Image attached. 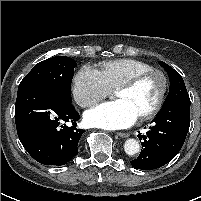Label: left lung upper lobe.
<instances>
[{
	"label": "left lung upper lobe",
	"mask_w": 201,
	"mask_h": 201,
	"mask_svg": "<svg viewBox=\"0 0 201 201\" xmlns=\"http://www.w3.org/2000/svg\"><path fill=\"white\" fill-rule=\"evenodd\" d=\"M160 65L167 71L170 80V89L163 105L182 99H190L182 76L166 63L160 61Z\"/></svg>",
	"instance_id": "5c2ea615"
}]
</instances>
